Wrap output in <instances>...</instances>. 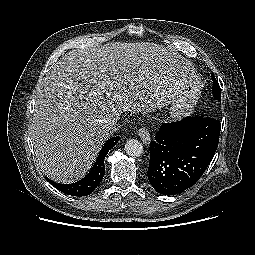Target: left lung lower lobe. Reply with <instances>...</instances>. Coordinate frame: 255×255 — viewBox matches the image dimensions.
I'll list each match as a JSON object with an SVG mask.
<instances>
[{"instance_id":"left-lung-lower-lobe-1","label":"left lung lower lobe","mask_w":255,"mask_h":255,"mask_svg":"<svg viewBox=\"0 0 255 255\" xmlns=\"http://www.w3.org/2000/svg\"><path fill=\"white\" fill-rule=\"evenodd\" d=\"M221 123L211 117H187L163 124L150 143L148 179L153 188L174 195L194 185L218 146Z\"/></svg>"}]
</instances>
